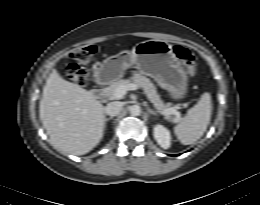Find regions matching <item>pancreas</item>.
<instances>
[{
    "mask_svg": "<svg viewBox=\"0 0 260 205\" xmlns=\"http://www.w3.org/2000/svg\"><path fill=\"white\" fill-rule=\"evenodd\" d=\"M131 83H135L139 85L141 88H143L150 102L153 103L154 107L159 111L171 109L169 103L165 104L161 100L160 95L157 93L156 87L151 82V80L140 72H134L130 79H118L112 82L108 87L103 89V94L110 100L116 99L115 90L120 86H125ZM164 116L166 119H171V115Z\"/></svg>",
    "mask_w": 260,
    "mask_h": 205,
    "instance_id": "obj_1",
    "label": "pancreas"
}]
</instances>
